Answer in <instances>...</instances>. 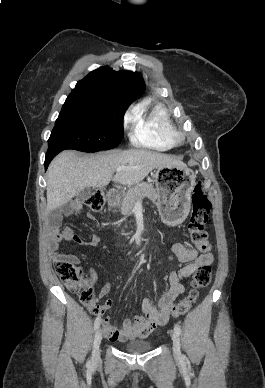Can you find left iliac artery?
Listing matches in <instances>:
<instances>
[{"mask_svg": "<svg viewBox=\"0 0 265 388\" xmlns=\"http://www.w3.org/2000/svg\"><path fill=\"white\" fill-rule=\"evenodd\" d=\"M174 331H175L178 335L181 334V329H180V327H179L178 325H175V326H174Z\"/></svg>", "mask_w": 265, "mask_h": 388, "instance_id": "44dca946", "label": "left iliac artery"}]
</instances>
